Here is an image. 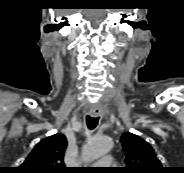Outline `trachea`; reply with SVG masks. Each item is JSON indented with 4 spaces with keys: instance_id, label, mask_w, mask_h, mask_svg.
Wrapping results in <instances>:
<instances>
[{
    "instance_id": "1",
    "label": "trachea",
    "mask_w": 184,
    "mask_h": 173,
    "mask_svg": "<svg viewBox=\"0 0 184 173\" xmlns=\"http://www.w3.org/2000/svg\"><path fill=\"white\" fill-rule=\"evenodd\" d=\"M98 121L99 117H91V116L86 117V123L90 130L94 129L97 126Z\"/></svg>"
}]
</instances>
